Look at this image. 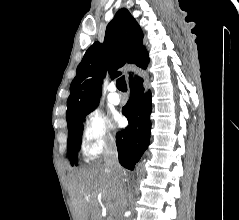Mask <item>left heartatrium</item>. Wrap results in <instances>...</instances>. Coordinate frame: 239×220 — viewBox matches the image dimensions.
Segmentation results:
<instances>
[{"mask_svg":"<svg viewBox=\"0 0 239 220\" xmlns=\"http://www.w3.org/2000/svg\"><path fill=\"white\" fill-rule=\"evenodd\" d=\"M116 121L118 124H120L122 122V120L120 118H117Z\"/></svg>","mask_w":239,"mask_h":220,"instance_id":"obj_1","label":"left heart atrium"}]
</instances>
